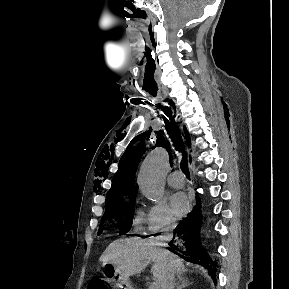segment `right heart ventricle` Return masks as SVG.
Here are the masks:
<instances>
[{"mask_svg": "<svg viewBox=\"0 0 289 289\" xmlns=\"http://www.w3.org/2000/svg\"><path fill=\"white\" fill-rule=\"evenodd\" d=\"M133 224L137 232H144L146 225V213L141 208L136 209Z\"/></svg>", "mask_w": 289, "mask_h": 289, "instance_id": "1", "label": "right heart ventricle"}]
</instances>
